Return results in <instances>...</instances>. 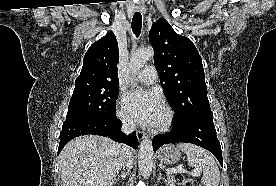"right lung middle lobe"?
<instances>
[{
    "label": "right lung middle lobe",
    "mask_w": 276,
    "mask_h": 186,
    "mask_svg": "<svg viewBox=\"0 0 276 186\" xmlns=\"http://www.w3.org/2000/svg\"><path fill=\"white\" fill-rule=\"evenodd\" d=\"M117 86L74 88L66 119L91 116L107 118L116 110Z\"/></svg>",
    "instance_id": "dd1d6c3e"
}]
</instances>
